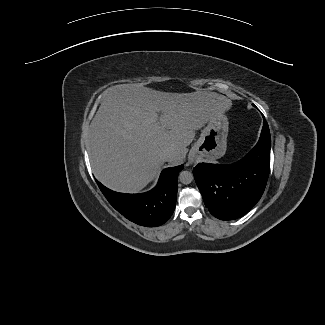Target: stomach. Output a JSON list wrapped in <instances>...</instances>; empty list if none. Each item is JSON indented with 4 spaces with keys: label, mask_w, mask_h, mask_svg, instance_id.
Here are the masks:
<instances>
[{
    "label": "stomach",
    "mask_w": 325,
    "mask_h": 325,
    "mask_svg": "<svg viewBox=\"0 0 325 325\" xmlns=\"http://www.w3.org/2000/svg\"><path fill=\"white\" fill-rule=\"evenodd\" d=\"M228 125L224 113L210 118L200 138L191 149L190 157L196 160H215L222 157L226 151Z\"/></svg>",
    "instance_id": "obj_1"
}]
</instances>
